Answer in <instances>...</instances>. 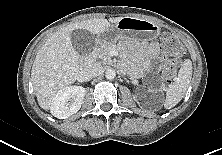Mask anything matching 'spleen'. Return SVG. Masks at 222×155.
Here are the masks:
<instances>
[{"label": "spleen", "mask_w": 222, "mask_h": 155, "mask_svg": "<svg viewBox=\"0 0 222 155\" xmlns=\"http://www.w3.org/2000/svg\"><path fill=\"white\" fill-rule=\"evenodd\" d=\"M192 77V63L190 60L184 61L178 76L174 78V82L168 87L164 107L170 109L176 106L184 97Z\"/></svg>", "instance_id": "3e777b00"}]
</instances>
